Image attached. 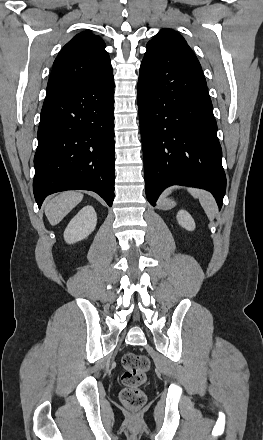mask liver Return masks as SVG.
Returning <instances> with one entry per match:
<instances>
[{"label": "liver", "instance_id": "6515ba94", "mask_svg": "<svg viewBox=\"0 0 263 440\" xmlns=\"http://www.w3.org/2000/svg\"><path fill=\"white\" fill-rule=\"evenodd\" d=\"M83 199V194L67 191L50 198L45 204V215L51 225H57Z\"/></svg>", "mask_w": 263, "mask_h": 440}]
</instances>
